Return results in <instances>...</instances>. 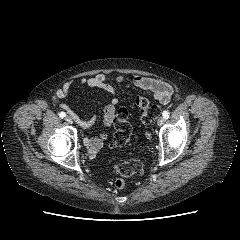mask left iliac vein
<instances>
[{"mask_svg": "<svg viewBox=\"0 0 240 240\" xmlns=\"http://www.w3.org/2000/svg\"><path fill=\"white\" fill-rule=\"evenodd\" d=\"M164 123V118L163 117H159L158 120H157V125L158 126H162Z\"/></svg>", "mask_w": 240, "mask_h": 240, "instance_id": "obj_1", "label": "left iliac vein"}]
</instances>
